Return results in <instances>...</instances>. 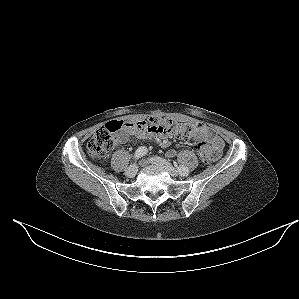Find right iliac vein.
Wrapping results in <instances>:
<instances>
[{
  "label": "right iliac vein",
  "mask_w": 299,
  "mask_h": 299,
  "mask_svg": "<svg viewBox=\"0 0 299 299\" xmlns=\"http://www.w3.org/2000/svg\"><path fill=\"white\" fill-rule=\"evenodd\" d=\"M137 170H138L137 165L133 164V165H131L130 167H128V168L126 169V171H125V175H126L127 177L132 178V177H134V176L136 175Z\"/></svg>",
  "instance_id": "obj_1"
}]
</instances>
